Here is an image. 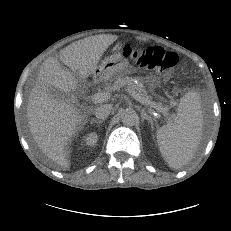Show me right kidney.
Wrapping results in <instances>:
<instances>
[{
    "label": "right kidney",
    "mask_w": 231,
    "mask_h": 231,
    "mask_svg": "<svg viewBox=\"0 0 231 231\" xmlns=\"http://www.w3.org/2000/svg\"><path fill=\"white\" fill-rule=\"evenodd\" d=\"M97 141H98V135L96 134V132L88 133L82 139L83 145L91 146V147L95 146Z\"/></svg>",
    "instance_id": "1"
}]
</instances>
